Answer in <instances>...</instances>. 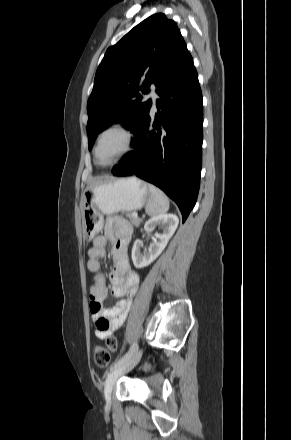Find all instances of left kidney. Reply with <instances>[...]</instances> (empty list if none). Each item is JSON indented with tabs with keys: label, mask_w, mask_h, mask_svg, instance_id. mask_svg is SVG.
I'll list each match as a JSON object with an SVG mask.
<instances>
[{
	"label": "left kidney",
	"mask_w": 291,
	"mask_h": 440,
	"mask_svg": "<svg viewBox=\"0 0 291 440\" xmlns=\"http://www.w3.org/2000/svg\"><path fill=\"white\" fill-rule=\"evenodd\" d=\"M179 219L175 214H160L146 221L144 230L151 232L157 225L163 227L162 233H156L153 243L148 249L142 251L143 243L140 240L134 242L132 248V261L136 268H144L150 265L164 250L168 241L178 227Z\"/></svg>",
	"instance_id": "1"
}]
</instances>
